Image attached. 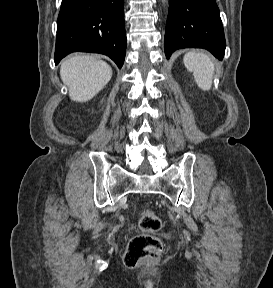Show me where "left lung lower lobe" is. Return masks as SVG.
I'll list each match as a JSON object with an SVG mask.
<instances>
[{"mask_svg": "<svg viewBox=\"0 0 273 288\" xmlns=\"http://www.w3.org/2000/svg\"><path fill=\"white\" fill-rule=\"evenodd\" d=\"M204 48L219 60L225 52V37L215 0H169L164 49L169 59L181 48Z\"/></svg>", "mask_w": 273, "mask_h": 288, "instance_id": "left-lung-lower-lobe-1", "label": "left lung lower lobe"}]
</instances>
